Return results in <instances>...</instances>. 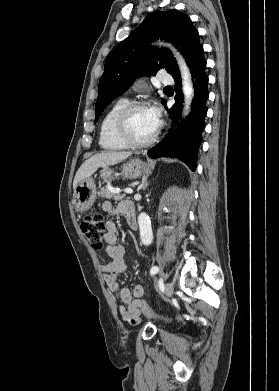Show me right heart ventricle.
I'll use <instances>...</instances> for the list:
<instances>
[{
    "label": "right heart ventricle",
    "mask_w": 279,
    "mask_h": 391,
    "mask_svg": "<svg viewBox=\"0 0 279 391\" xmlns=\"http://www.w3.org/2000/svg\"><path fill=\"white\" fill-rule=\"evenodd\" d=\"M128 103L124 98L118 99L104 114L99 133V144L101 148L110 151L124 150L128 146L116 135L115 120L119 111Z\"/></svg>",
    "instance_id": "obj_1"
}]
</instances>
